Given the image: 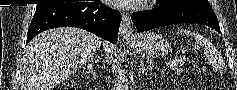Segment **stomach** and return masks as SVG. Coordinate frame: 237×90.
<instances>
[{
  "mask_svg": "<svg viewBox=\"0 0 237 90\" xmlns=\"http://www.w3.org/2000/svg\"><path fill=\"white\" fill-rule=\"evenodd\" d=\"M132 49L141 56H164L170 50L169 43L154 32H145L129 42Z\"/></svg>",
  "mask_w": 237,
  "mask_h": 90,
  "instance_id": "1",
  "label": "stomach"
}]
</instances>
